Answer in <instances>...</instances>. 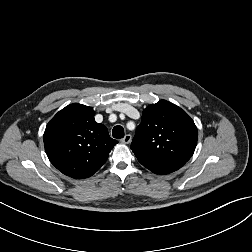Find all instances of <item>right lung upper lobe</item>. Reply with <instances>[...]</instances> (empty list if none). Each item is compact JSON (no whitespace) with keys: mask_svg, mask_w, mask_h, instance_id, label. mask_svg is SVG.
I'll return each mask as SVG.
<instances>
[{"mask_svg":"<svg viewBox=\"0 0 252 252\" xmlns=\"http://www.w3.org/2000/svg\"><path fill=\"white\" fill-rule=\"evenodd\" d=\"M94 114L91 107L70 104L46 126V154L59 171L72 178L92 176L118 143L110 138L106 126L95 122Z\"/></svg>","mask_w":252,"mask_h":252,"instance_id":"1","label":"right lung upper lobe"}]
</instances>
